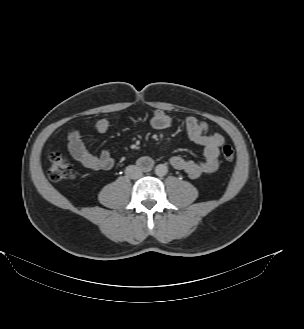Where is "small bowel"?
<instances>
[{
    "mask_svg": "<svg viewBox=\"0 0 304 329\" xmlns=\"http://www.w3.org/2000/svg\"><path fill=\"white\" fill-rule=\"evenodd\" d=\"M122 118L101 117L93 124V129L97 133H105L112 124L120 123ZM173 123L172 118L163 111H156L150 119V124L156 129H166ZM185 128L188 137L202 147V159L192 161L175 155L171 157L170 163L176 170L187 174L191 179H197L204 175L211 174L218 169L219 151L225 143V138L219 133L208 134L206 122L189 116L185 120ZM69 150L72 156L84 167L91 170H109L114 164V159L108 150H103L96 155L90 152L86 143L81 139L79 132L73 131L69 135Z\"/></svg>",
    "mask_w": 304,
    "mask_h": 329,
    "instance_id": "small-bowel-1",
    "label": "small bowel"
}]
</instances>
